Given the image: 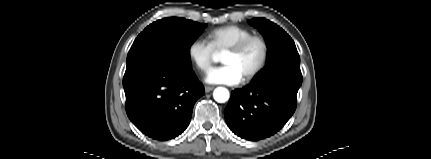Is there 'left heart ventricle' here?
<instances>
[{"label":"left heart ventricle","instance_id":"b2bd125f","mask_svg":"<svg viewBox=\"0 0 431 159\" xmlns=\"http://www.w3.org/2000/svg\"><path fill=\"white\" fill-rule=\"evenodd\" d=\"M262 54L261 45L257 42L251 44L242 54L233 55L225 53L222 61L225 65L234 66L245 77L258 65Z\"/></svg>","mask_w":431,"mask_h":159}]
</instances>
